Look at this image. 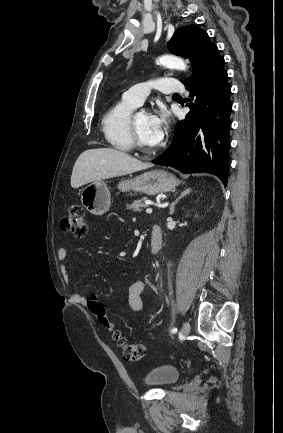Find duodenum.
I'll use <instances>...</instances> for the list:
<instances>
[{
  "mask_svg": "<svg viewBox=\"0 0 283 433\" xmlns=\"http://www.w3.org/2000/svg\"><path fill=\"white\" fill-rule=\"evenodd\" d=\"M163 235L162 229L158 225L151 227V251L154 255L159 254L162 249Z\"/></svg>",
  "mask_w": 283,
  "mask_h": 433,
  "instance_id": "410a0bca",
  "label": "duodenum"
}]
</instances>
